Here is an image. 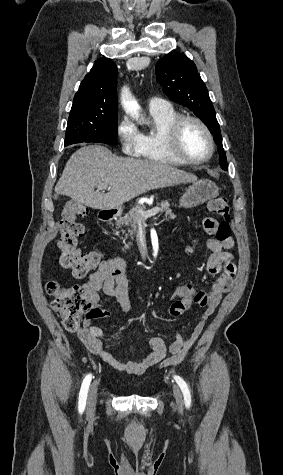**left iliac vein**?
Segmentation results:
<instances>
[{
	"label": "left iliac vein",
	"mask_w": 283,
	"mask_h": 475,
	"mask_svg": "<svg viewBox=\"0 0 283 475\" xmlns=\"http://www.w3.org/2000/svg\"><path fill=\"white\" fill-rule=\"evenodd\" d=\"M173 394L176 400L177 407L182 410L183 408V397L182 393L177 385H173Z\"/></svg>",
	"instance_id": "obj_1"
}]
</instances>
